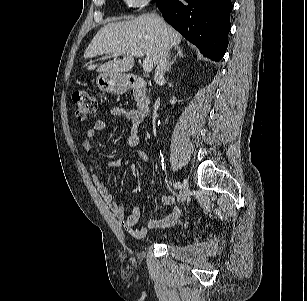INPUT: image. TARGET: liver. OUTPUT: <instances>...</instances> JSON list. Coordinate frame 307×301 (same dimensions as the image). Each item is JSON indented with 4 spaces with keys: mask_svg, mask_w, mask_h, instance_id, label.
<instances>
[{
    "mask_svg": "<svg viewBox=\"0 0 307 301\" xmlns=\"http://www.w3.org/2000/svg\"><path fill=\"white\" fill-rule=\"evenodd\" d=\"M182 36L174 28L154 13L140 15L128 21L108 23L102 27L88 45L84 57L86 59L115 52L123 55L101 65L89 63L88 70L97 72L122 74L134 66V51H142L147 58L157 65L159 52L164 42L178 46Z\"/></svg>",
    "mask_w": 307,
    "mask_h": 301,
    "instance_id": "1",
    "label": "liver"
}]
</instances>
